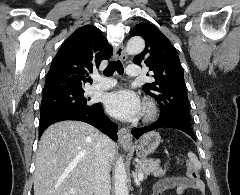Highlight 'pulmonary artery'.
<instances>
[{
    "label": "pulmonary artery",
    "mask_w": 240,
    "mask_h": 195,
    "mask_svg": "<svg viewBox=\"0 0 240 195\" xmlns=\"http://www.w3.org/2000/svg\"><path fill=\"white\" fill-rule=\"evenodd\" d=\"M126 73L132 78H137L141 75L138 65H129ZM145 74V73H144ZM115 81L113 79H102L97 78L96 82L91 86V90H105L109 89L114 85Z\"/></svg>",
    "instance_id": "pulmonary-artery-1"
}]
</instances>
